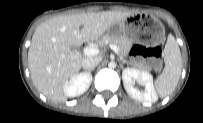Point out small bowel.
<instances>
[{
    "label": "small bowel",
    "mask_w": 203,
    "mask_h": 123,
    "mask_svg": "<svg viewBox=\"0 0 203 123\" xmlns=\"http://www.w3.org/2000/svg\"><path fill=\"white\" fill-rule=\"evenodd\" d=\"M136 54H139V51H135Z\"/></svg>",
    "instance_id": "obj_1"
}]
</instances>
